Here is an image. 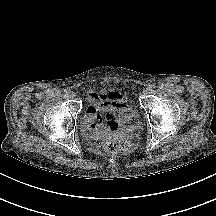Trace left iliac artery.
<instances>
[{"label":"left iliac artery","instance_id":"obj_1","mask_svg":"<svg viewBox=\"0 0 216 216\" xmlns=\"http://www.w3.org/2000/svg\"><path fill=\"white\" fill-rule=\"evenodd\" d=\"M155 88H156V86L154 84L153 85H149V90L150 91H153Z\"/></svg>","mask_w":216,"mask_h":216}]
</instances>
